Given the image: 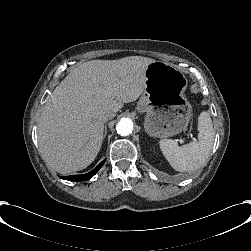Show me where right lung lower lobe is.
<instances>
[{
  "instance_id": "obj_1",
  "label": "right lung lower lobe",
  "mask_w": 251,
  "mask_h": 251,
  "mask_svg": "<svg viewBox=\"0 0 251 251\" xmlns=\"http://www.w3.org/2000/svg\"><path fill=\"white\" fill-rule=\"evenodd\" d=\"M105 160L102 161L98 166H96L92 171L83 175H71V176H61L60 178L69 180V181H86L92 178L99 169L103 166Z\"/></svg>"
}]
</instances>
